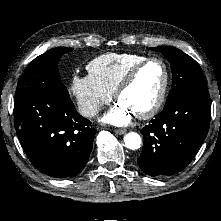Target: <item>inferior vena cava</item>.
Masks as SVG:
<instances>
[{"mask_svg": "<svg viewBox=\"0 0 221 221\" xmlns=\"http://www.w3.org/2000/svg\"><path fill=\"white\" fill-rule=\"evenodd\" d=\"M101 110V106L98 104L86 103L80 106L79 111L85 117H93Z\"/></svg>", "mask_w": 221, "mask_h": 221, "instance_id": "obj_1", "label": "inferior vena cava"}]
</instances>
